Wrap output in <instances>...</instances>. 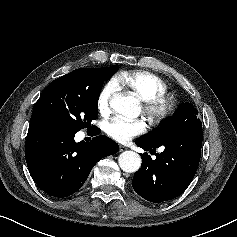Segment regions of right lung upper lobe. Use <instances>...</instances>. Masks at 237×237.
Segmentation results:
<instances>
[{"instance_id":"right-lung-upper-lobe-1","label":"right lung upper lobe","mask_w":237,"mask_h":237,"mask_svg":"<svg viewBox=\"0 0 237 237\" xmlns=\"http://www.w3.org/2000/svg\"><path fill=\"white\" fill-rule=\"evenodd\" d=\"M88 69L89 68L76 69V70L68 73L67 75H69L77 80H80V81H87L90 77L89 73H88ZM34 127H42V126L34 118V116H32L31 120H30L29 129L34 128Z\"/></svg>"}]
</instances>
